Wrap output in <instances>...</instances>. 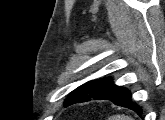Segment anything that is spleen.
<instances>
[{
	"mask_svg": "<svg viewBox=\"0 0 165 120\" xmlns=\"http://www.w3.org/2000/svg\"><path fill=\"white\" fill-rule=\"evenodd\" d=\"M108 120H133V119L127 115H112L108 118Z\"/></svg>",
	"mask_w": 165,
	"mask_h": 120,
	"instance_id": "3e777b00",
	"label": "spleen"
}]
</instances>
